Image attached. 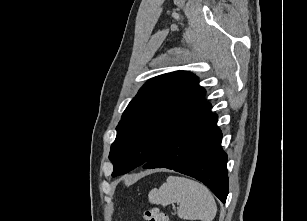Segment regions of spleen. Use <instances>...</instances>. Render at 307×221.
Here are the masks:
<instances>
[{
  "label": "spleen",
  "instance_id": "spleen-1",
  "mask_svg": "<svg viewBox=\"0 0 307 221\" xmlns=\"http://www.w3.org/2000/svg\"><path fill=\"white\" fill-rule=\"evenodd\" d=\"M151 204L163 206L178 203V217L184 220L212 221L217 212L216 202L206 186L179 176H169L159 189L148 195Z\"/></svg>",
  "mask_w": 307,
  "mask_h": 221
}]
</instances>
